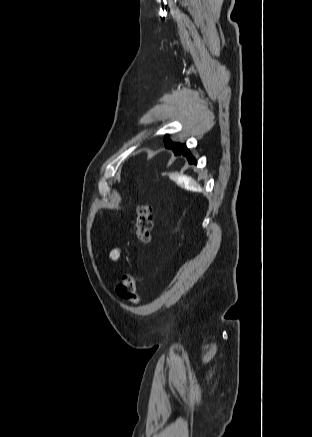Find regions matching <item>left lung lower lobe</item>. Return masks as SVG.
<instances>
[{
  "label": "left lung lower lobe",
  "instance_id": "left-lung-lower-lobe-1",
  "mask_svg": "<svg viewBox=\"0 0 312 437\" xmlns=\"http://www.w3.org/2000/svg\"><path fill=\"white\" fill-rule=\"evenodd\" d=\"M165 147L173 150L175 155H184V156H186L188 161H189V163H191V164H196L197 163L196 160L191 155L189 149L186 147L185 144L169 142V143H165Z\"/></svg>",
  "mask_w": 312,
  "mask_h": 437
}]
</instances>
